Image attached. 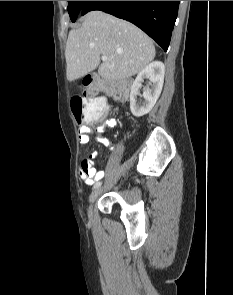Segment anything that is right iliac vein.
<instances>
[{
	"mask_svg": "<svg viewBox=\"0 0 233 295\" xmlns=\"http://www.w3.org/2000/svg\"><path fill=\"white\" fill-rule=\"evenodd\" d=\"M102 192L101 182L100 185L94 188V190L91 192L89 196V206H88V213L91 214L93 203L96 200V198L100 195Z\"/></svg>",
	"mask_w": 233,
	"mask_h": 295,
	"instance_id": "obj_1",
	"label": "right iliac vein"
}]
</instances>
